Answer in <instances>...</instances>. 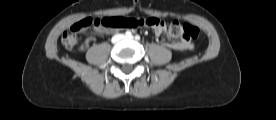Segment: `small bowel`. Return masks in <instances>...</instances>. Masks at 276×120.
<instances>
[{
  "label": "small bowel",
  "mask_w": 276,
  "mask_h": 120,
  "mask_svg": "<svg viewBox=\"0 0 276 120\" xmlns=\"http://www.w3.org/2000/svg\"><path fill=\"white\" fill-rule=\"evenodd\" d=\"M154 31L157 35H162L166 33V27L164 22L159 24L158 26L154 27ZM168 38L170 39V42L167 43V46L176 49V50H190L192 48V45L187 41H175L172 40V37L168 35ZM92 40V38H88L84 41V43L81 45V49H85L89 42Z\"/></svg>",
  "instance_id": "c3829d8e"
}]
</instances>
